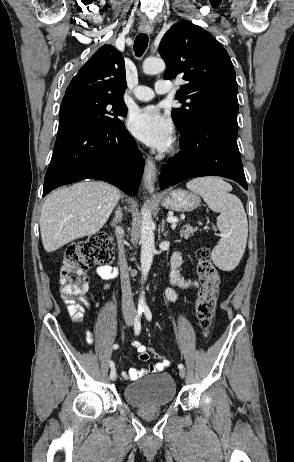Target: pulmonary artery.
I'll use <instances>...</instances> for the list:
<instances>
[{
    "mask_svg": "<svg viewBox=\"0 0 294 462\" xmlns=\"http://www.w3.org/2000/svg\"><path fill=\"white\" fill-rule=\"evenodd\" d=\"M171 90V85L168 81L160 79L157 80L154 88H150L147 86H137L133 91V95L137 100L140 101H149L151 100L155 94H166L169 93Z\"/></svg>",
    "mask_w": 294,
    "mask_h": 462,
    "instance_id": "obj_1",
    "label": "pulmonary artery"
}]
</instances>
